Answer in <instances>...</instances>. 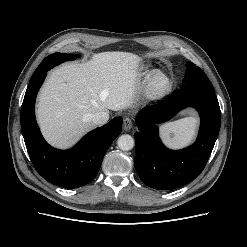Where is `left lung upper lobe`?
I'll return each mask as SVG.
<instances>
[{
	"mask_svg": "<svg viewBox=\"0 0 247 247\" xmlns=\"http://www.w3.org/2000/svg\"><path fill=\"white\" fill-rule=\"evenodd\" d=\"M186 73L183 79L185 84L200 83L208 86H212L206 74L195 64L188 61L186 64Z\"/></svg>",
	"mask_w": 247,
	"mask_h": 247,
	"instance_id": "5c2ea615",
	"label": "left lung upper lobe"
}]
</instances>
